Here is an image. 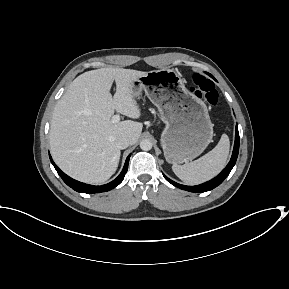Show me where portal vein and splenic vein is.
I'll return each mask as SVG.
<instances>
[{"label":"portal vein and splenic vein","mask_w":289,"mask_h":289,"mask_svg":"<svg viewBox=\"0 0 289 289\" xmlns=\"http://www.w3.org/2000/svg\"><path fill=\"white\" fill-rule=\"evenodd\" d=\"M120 121V115L116 114L112 117V122L113 123H118Z\"/></svg>","instance_id":"portal-vein-and-splenic-vein-1"}]
</instances>
